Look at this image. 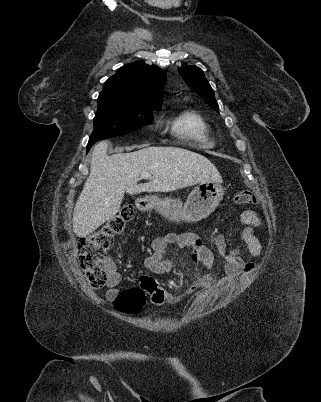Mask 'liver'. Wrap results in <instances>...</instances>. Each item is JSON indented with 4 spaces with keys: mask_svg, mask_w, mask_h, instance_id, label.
Here are the masks:
<instances>
[{
    "mask_svg": "<svg viewBox=\"0 0 321 402\" xmlns=\"http://www.w3.org/2000/svg\"><path fill=\"white\" fill-rule=\"evenodd\" d=\"M108 143L94 147L90 174L75 204L73 231L84 238L119 211L125 192H170L208 181H222L217 168L201 154L178 147H145L107 155ZM153 176L137 184L142 173Z\"/></svg>",
    "mask_w": 321,
    "mask_h": 402,
    "instance_id": "6515ba94",
    "label": "liver"
}]
</instances>
